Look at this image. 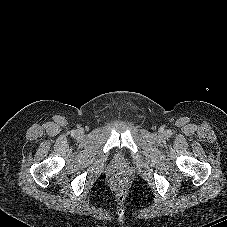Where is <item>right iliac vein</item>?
Here are the masks:
<instances>
[{"instance_id":"obj_1","label":"right iliac vein","mask_w":227,"mask_h":227,"mask_svg":"<svg viewBox=\"0 0 227 227\" xmlns=\"http://www.w3.org/2000/svg\"><path fill=\"white\" fill-rule=\"evenodd\" d=\"M76 134H77L78 137H81L83 132L81 130H78Z\"/></svg>"}]
</instances>
